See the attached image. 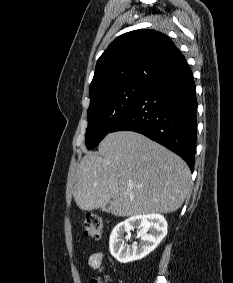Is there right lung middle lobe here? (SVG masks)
Returning <instances> with one entry per match:
<instances>
[{
	"label": "right lung middle lobe",
	"mask_w": 233,
	"mask_h": 283,
	"mask_svg": "<svg viewBox=\"0 0 233 283\" xmlns=\"http://www.w3.org/2000/svg\"><path fill=\"white\" fill-rule=\"evenodd\" d=\"M148 83H129L104 92L90 102L86 146L92 149L127 114L142 95Z\"/></svg>",
	"instance_id": "1"
}]
</instances>
